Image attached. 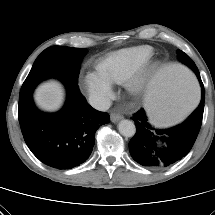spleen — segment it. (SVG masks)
<instances>
[{"label":"spleen","mask_w":215,"mask_h":215,"mask_svg":"<svg viewBox=\"0 0 215 215\" xmlns=\"http://www.w3.org/2000/svg\"><path fill=\"white\" fill-rule=\"evenodd\" d=\"M198 79L182 65L161 69L152 80L145 99L153 123L169 125L181 120L200 101Z\"/></svg>","instance_id":"spleen-1"}]
</instances>
